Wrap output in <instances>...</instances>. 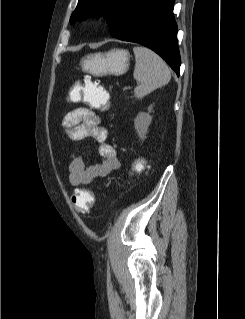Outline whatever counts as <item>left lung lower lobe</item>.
<instances>
[{
	"label": "left lung lower lobe",
	"mask_w": 245,
	"mask_h": 319,
	"mask_svg": "<svg viewBox=\"0 0 245 319\" xmlns=\"http://www.w3.org/2000/svg\"><path fill=\"white\" fill-rule=\"evenodd\" d=\"M175 0H142L131 12L115 38L139 43L154 50L179 75L180 54L177 24L173 16Z\"/></svg>",
	"instance_id": "1"
}]
</instances>
